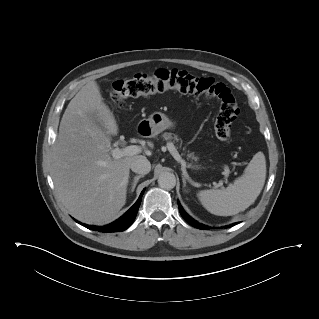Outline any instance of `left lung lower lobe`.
<instances>
[{"label": "left lung lower lobe", "mask_w": 319, "mask_h": 319, "mask_svg": "<svg viewBox=\"0 0 319 319\" xmlns=\"http://www.w3.org/2000/svg\"><path fill=\"white\" fill-rule=\"evenodd\" d=\"M178 207H179V211H180V214L182 215V217L190 224L192 225L193 227L195 228H199V229H209L208 226L206 225H203V224H200L198 223L196 220H194L193 218H191L188 214H186V212L183 210V208L181 207L180 203L178 202ZM235 224H238V223H233L229 226H226L225 228L227 227H231Z\"/></svg>", "instance_id": "1"}]
</instances>
